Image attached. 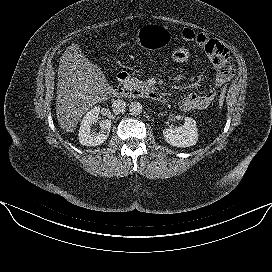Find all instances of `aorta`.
Instances as JSON below:
<instances>
[{
	"instance_id": "1",
	"label": "aorta",
	"mask_w": 272,
	"mask_h": 272,
	"mask_svg": "<svg viewBox=\"0 0 272 272\" xmlns=\"http://www.w3.org/2000/svg\"><path fill=\"white\" fill-rule=\"evenodd\" d=\"M129 111L132 115H139L142 112V106L139 102H131Z\"/></svg>"
}]
</instances>
